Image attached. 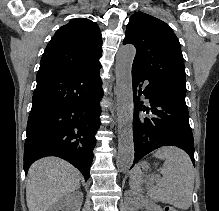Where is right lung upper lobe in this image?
<instances>
[{
  "instance_id": "right-lung-upper-lobe-1",
  "label": "right lung upper lobe",
  "mask_w": 219,
  "mask_h": 211,
  "mask_svg": "<svg viewBox=\"0 0 219 211\" xmlns=\"http://www.w3.org/2000/svg\"><path fill=\"white\" fill-rule=\"evenodd\" d=\"M101 46L98 25L88 19H74L52 37L38 72L93 68L100 64Z\"/></svg>"
}]
</instances>
